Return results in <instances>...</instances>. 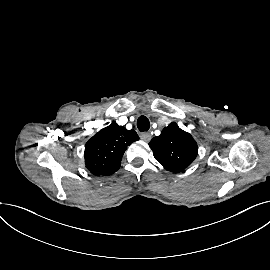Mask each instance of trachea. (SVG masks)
I'll list each match as a JSON object with an SVG mask.
<instances>
[{"label": "trachea", "instance_id": "3493384b", "mask_svg": "<svg viewBox=\"0 0 270 270\" xmlns=\"http://www.w3.org/2000/svg\"><path fill=\"white\" fill-rule=\"evenodd\" d=\"M137 127L141 132L148 131L150 122L145 116H140L137 120Z\"/></svg>", "mask_w": 270, "mask_h": 270}]
</instances>
